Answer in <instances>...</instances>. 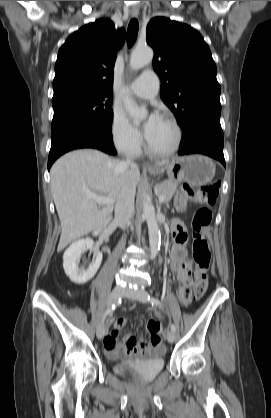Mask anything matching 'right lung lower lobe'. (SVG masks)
Segmentation results:
<instances>
[{"label": "right lung lower lobe", "mask_w": 271, "mask_h": 418, "mask_svg": "<svg viewBox=\"0 0 271 418\" xmlns=\"http://www.w3.org/2000/svg\"><path fill=\"white\" fill-rule=\"evenodd\" d=\"M51 149L48 170L62 154L79 148H95L108 154H116L112 142L111 127L100 123H88L61 129L51 133Z\"/></svg>", "instance_id": "obj_1"}]
</instances>
